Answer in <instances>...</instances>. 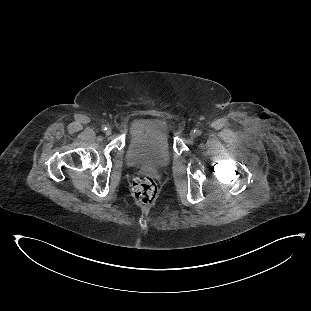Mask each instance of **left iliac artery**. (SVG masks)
<instances>
[{"label":"left iliac artery","mask_w":311,"mask_h":311,"mask_svg":"<svg viewBox=\"0 0 311 311\" xmlns=\"http://www.w3.org/2000/svg\"><path fill=\"white\" fill-rule=\"evenodd\" d=\"M194 131H195L196 135H198V136L201 135V133H202L199 129H196Z\"/></svg>","instance_id":"obj_1"}]
</instances>
